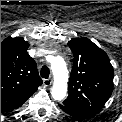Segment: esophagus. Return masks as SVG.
<instances>
[{
  "label": "esophagus",
  "instance_id": "esophagus-1",
  "mask_svg": "<svg viewBox=\"0 0 122 122\" xmlns=\"http://www.w3.org/2000/svg\"><path fill=\"white\" fill-rule=\"evenodd\" d=\"M52 82H53V80L50 79V78H49V79H44V80H43V84H44V86H46V87L51 86Z\"/></svg>",
  "mask_w": 122,
  "mask_h": 122
}]
</instances>
